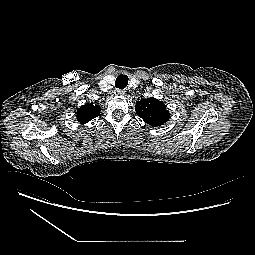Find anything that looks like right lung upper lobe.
I'll return each instance as SVG.
<instances>
[{
  "label": "right lung upper lobe",
  "mask_w": 255,
  "mask_h": 255,
  "mask_svg": "<svg viewBox=\"0 0 255 255\" xmlns=\"http://www.w3.org/2000/svg\"><path fill=\"white\" fill-rule=\"evenodd\" d=\"M100 107L98 105L93 104H85L78 109L76 113L77 120L81 124H85L92 120L93 118L99 116L100 114Z\"/></svg>",
  "instance_id": "1"
}]
</instances>
